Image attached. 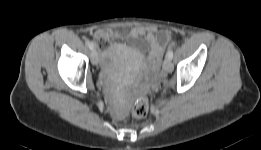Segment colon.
Returning <instances> with one entry per match:
<instances>
[{
    "mask_svg": "<svg viewBox=\"0 0 261 150\" xmlns=\"http://www.w3.org/2000/svg\"><path fill=\"white\" fill-rule=\"evenodd\" d=\"M149 112V104L146 97H140L134 103L132 108V115L136 118H144L147 116Z\"/></svg>",
    "mask_w": 261,
    "mask_h": 150,
    "instance_id": "1",
    "label": "colon"
}]
</instances>
